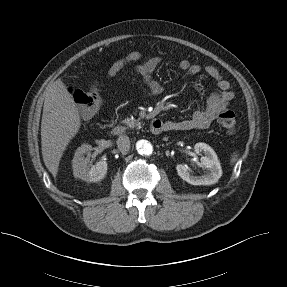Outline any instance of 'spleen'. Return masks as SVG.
<instances>
[{
  "instance_id": "spleen-1",
  "label": "spleen",
  "mask_w": 287,
  "mask_h": 287,
  "mask_svg": "<svg viewBox=\"0 0 287 287\" xmlns=\"http://www.w3.org/2000/svg\"><path fill=\"white\" fill-rule=\"evenodd\" d=\"M238 160V154L237 153H233L232 157H231V164H234L236 161Z\"/></svg>"
}]
</instances>
